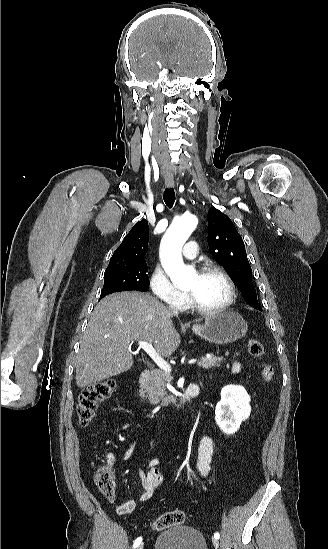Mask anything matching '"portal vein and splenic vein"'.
<instances>
[{"mask_svg": "<svg viewBox=\"0 0 328 549\" xmlns=\"http://www.w3.org/2000/svg\"><path fill=\"white\" fill-rule=\"evenodd\" d=\"M139 349H143L151 359H153L154 363L158 365L159 369H162V371H171V367L169 363H166L158 353H156L154 347L151 345V341L149 343H146V341H138ZM195 358H191L190 364H194Z\"/></svg>", "mask_w": 328, "mask_h": 549, "instance_id": "18ae733b", "label": "portal vein and splenic vein"}]
</instances>
